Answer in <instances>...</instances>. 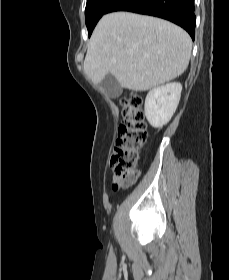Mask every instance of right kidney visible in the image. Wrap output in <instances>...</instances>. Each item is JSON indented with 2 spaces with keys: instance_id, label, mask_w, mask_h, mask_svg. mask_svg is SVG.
I'll return each mask as SVG.
<instances>
[{
  "instance_id": "ca27d5eb",
  "label": "right kidney",
  "mask_w": 229,
  "mask_h": 280,
  "mask_svg": "<svg viewBox=\"0 0 229 280\" xmlns=\"http://www.w3.org/2000/svg\"><path fill=\"white\" fill-rule=\"evenodd\" d=\"M182 91L180 83H168L154 88L145 99V116L154 128L163 127L173 116Z\"/></svg>"
}]
</instances>
